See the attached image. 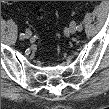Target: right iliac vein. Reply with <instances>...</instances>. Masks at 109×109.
Here are the masks:
<instances>
[{"label":"right iliac vein","mask_w":109,"mask_h":109,"mask_svg":"<svg viewBox=\"0 0 109 109\" xmlns=\"http://www.w3.org/2000/svg\"><path fill=\"white\" fill-rule=\"evenodd\" d=\"M31 31L30 30H26V32H25V38H27V39H29V38H31Z\"/></svg>","instance_id":"right-iliac-vein-1"}]
</instances>
